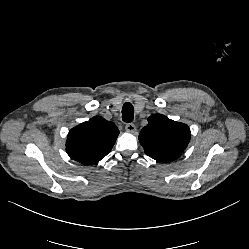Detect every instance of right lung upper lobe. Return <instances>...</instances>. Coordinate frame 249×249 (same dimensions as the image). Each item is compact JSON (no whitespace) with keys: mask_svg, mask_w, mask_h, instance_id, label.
Returning a JSON list of instances; mask_svg holds the SVG:
<instances>
[{"mask_svg":"<svg viewBox=\"0 0 249 249\" xmlns=\"http://www.w3.org/2000/svg\"><path fill=\"white\" fill-rule=\"evenodd\" d=\"M118 134L119 130L113 122L95 116L70 130L66 151L81 164H94L110 153Z\"/></svg>","mask_w":249,"mask_h":249,"instance_id":"1","label":"right lung upper lobe"}]
</instances>
